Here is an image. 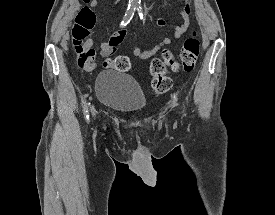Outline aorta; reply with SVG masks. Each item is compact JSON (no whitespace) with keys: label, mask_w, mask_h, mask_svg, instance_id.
<instances>
[{"label":"aorta","mask_w":275,"mask_h":215,"mask_svg":"<svg viewBox=\"0 0 275 215\" xmlns=\"http://www.w3.org/2000/svg\"><path fill=\"white\" fill-rule=\"evenodd\" d=\"M129 2L133 6H138L141 3V0H129Z\"/></svg>","instance_id":"obj_1"}]
</instances>
